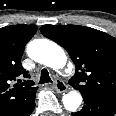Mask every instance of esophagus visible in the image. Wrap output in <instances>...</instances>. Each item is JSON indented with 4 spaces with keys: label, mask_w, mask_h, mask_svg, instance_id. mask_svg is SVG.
Instances as JSON below:
<instances>
[{
    "label": "esophagus",
    "mask_w": 116,
    "mask_h": 116,
    "mask_svg": "<svg viewBox=\"0 0 116 116\" xmlns=\"http://www.w3.org/2000/svg\"><path fill=\"white\" fill-rule=\"evenodd\" d=\"M54 88L56 89L58 93H63V92H66L67 90L66 84L59 79H56L54 81Z\"/></svg>",
    "instance_id": "34e87169"
}]
</instances>
